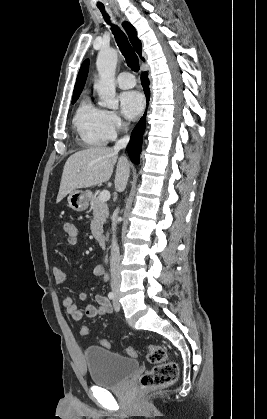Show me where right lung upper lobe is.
Masks as SVG:
<instances>
[{
  "label": "right lung upper lobe",
  "instance_id": "right-lung-upper-lobe-1",
  "mask_svg": "<svg viewBox=\"0 0 267 419\" xmlns=\"http://www.w3.org/2000/svg\"><path fill=\"white\" fill-rule=\"evenodd\" d=\"M123 28L125 29L126 33L128 34L129 40L131 42V44L133 45L135 51L138 53V55L140 56V58L142 60H144V58H142L141 56V42L140 40L137 38V32L135 30V28L129 23V22H123L122 24ZM88 66H89V60H85L79 70L78 76H77V80H76V84L74 87V91H73V96L76 95H80L85 82H86V78H87V74H88Z\"/></svg>",
  "mask_w": 267,
  "mask_h": 419
}]
</instances>
